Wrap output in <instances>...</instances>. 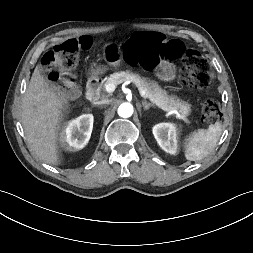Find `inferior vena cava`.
Masks as SVG:
<instances>
[{
	"label": "inferior vena cava",
	"instance_id": "1",
	"mask_svg": "<svg viewBox=\"0 0 253 253\" xmlns=\"http://www.w3.org/2000/svg\"><path fill=\"white\" fill-rule=\"evenodd\" d=\"M111 101L109 99H102L98 102H96V104L98 105H104V104H109Z\"/></svg>",
	"mask_w": 253,
	"mask_h": 253
}]
</instances>
